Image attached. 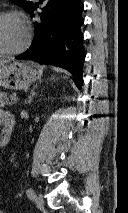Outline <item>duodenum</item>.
Listing matches in <instances>:
<instances>
[{
	"instance_id": "410a0bca",
	"label": "duodenum",
	"mask_w": 128,
	"mask_h": 213,
	"mask_svg": "<svg viewBox=\"0 0 128 213\" xmlns=\"http://www.w3.org/2000/svg\"><path fill=\"white\" fill-rule=\"evenodd\" d=\"M2 122V132L0 134V147L7 146L10 141L15 127V117L8 113L6 114Z\"/></svg>"
}]
</instances>
